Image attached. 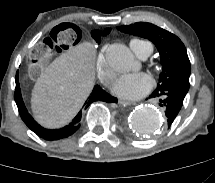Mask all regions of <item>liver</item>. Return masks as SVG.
Masks as SVG:
<instances>
[{
  "label": "liver",
  "instance_id": "liver-1",
  "mask_svg": "<svg viewBox=\"0 0 215 183\" xmlns=\"http://www.w3.org/2000/svg\"><path fill=\"white\" fill-rule=\"evenodd\" d=\"M95 53L91 43H81L57 57L40 75L31 97L40 125L60 128L79 112L95 84Z\"/></svg>",
  "mask_w": 215,
  "mask_h": 183
}]
</instances>
